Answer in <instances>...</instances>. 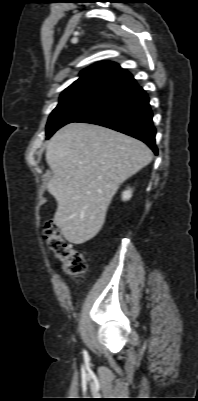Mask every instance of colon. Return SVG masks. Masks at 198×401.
Masks as SVG:
<instances>
[{"label": "colon", "instance_id": "1", "mask_svg": "<svg viewBox=\"0 0 198 401\" xmlns=\"http://www.w3.org/2000/svg\"><path fill=\"white\" fill-rule=\"evenodd\" d=\"M44 239L49 250L65 265V270L72 276L86 271L87 264L83 255L73 248L61 235L54 220H47L44 227Z\"/></svg>", "mask_w": 198, "mask_h": 401}]
</instances>
